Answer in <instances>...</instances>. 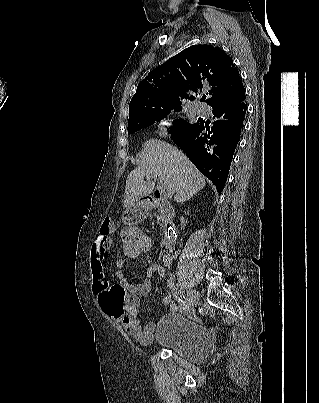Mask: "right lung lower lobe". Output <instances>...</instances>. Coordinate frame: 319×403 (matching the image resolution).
Returning <instances> with one entry per match:
<instances>
[{"label":"right lung lower lobe","mask_w":319,"mask_h":403,"mask_svg":"<svg viewBox=\"0 0 319 403\" xmlns=\"http://www.w3.org/2000/svg\"><path fill=\"white\" fill-rule=\"evenodd\" d=\"M243 97L213 106L214 123L210 128L200 120L187 129L173 133L171 139L209 178L221 194L245 120L247 106Z\"/></svg>","instance_id":"obj_1"}]
</instances>
